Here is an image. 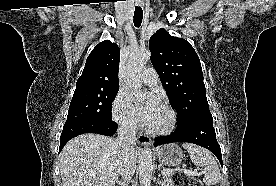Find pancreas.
<instances>
[{"mask_svg":"<svg viewBox=\"0 0 276 186\" xmlns=\"http://www.w3.org/2000/svg\"><path fill=\"white\" fill-rule=\"evenodd\" d=\"M164 183H165V186H174L173 180H172V174L164 177Z\"/></svg>","mask_w":276,"mask_h":186,"instance_id":"1","label":"pancreas"}]
</instances>
